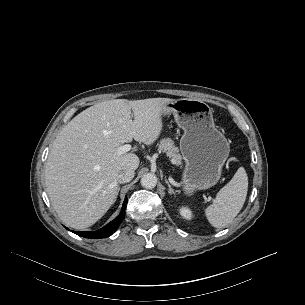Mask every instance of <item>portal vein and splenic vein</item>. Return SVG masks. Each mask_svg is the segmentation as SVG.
<instances>
[{"instance_id": "portal-vein-and-splenic-vein-1", "label": "portal vein and splenic vein", "mask_w": 305, "mask_h": 305, "mask_svg": "<svg viewBox=\"0 0 305 305\" xmlns=\"http://www.w3.org/2000/svg\"><path fill=\"white\" fill-rule=\"evenodd\" d=\"M132 149L131 145L130 144H125V145H122L118 148V152L119 153H126L128 151H130ZM208 200H211V198H209Z\"/></svg>"}]
</instances>
